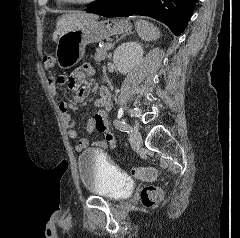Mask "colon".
<instances>
[{
    "label": "colon",
    "instance_id": "5ec220e1",
    "mask_svg": "<svg viewBox=\"0 0 240 238\" xmlns=\"http://www.w3.org/2000/svg\"><path fill=\"white\" fill-rule=\"evenodd\" d=\"M42 66L46 70H51L55 65V58L52 55H45L42 58ZM132 174L138 179L152 181L156 177V170L151 167H138L132 169ZM163 191L157 186H148L142 190L141 200L144 206L151 207L161 201Z\"/></svg>",
    "mask_w": 240,
    "mask_h": 238
}]
</instances>
